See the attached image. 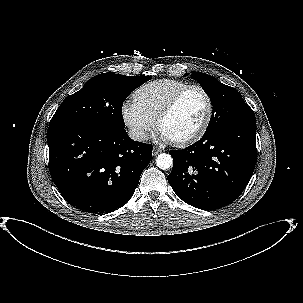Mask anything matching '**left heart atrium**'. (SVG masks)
<instances>
[{
  "label": "left heart atrium",
  "mask_w": 303,
  "mask_h": 303,
  "mask_svg": "<svg viewBox=\"0 0 303 303\" xmlns=\"http://www.w3.org/2000/svg\"><path fill=\"white\" fill-rule=\"evenodd\" d=\"M160 137L163 139V140H166V141H170V140H172L171 139V137L167 134V133H165L164 131H160Z\"/></svg>",
  "instance_id": "obj_1"
}]
</instances>
